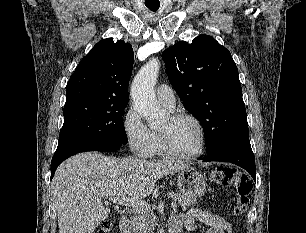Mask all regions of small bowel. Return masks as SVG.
I'll return each instance as SVG.
<instances>
[{"mask_svg": "<svg viewBox=\"0 0 306 233\" xmlns=\"http://www.w3.org/2000/svg\"><path fill=\"white\" fill-rule=\"evenodd\" d=\"M196 222L208 225L207 233H233L231 225L224 218L200 209H191L184 214L173 216L170 226L178 228L179 231L181 228L193 231Z\"/></svg>", "mask_w": 306, "mask_h": 233, "instance_id": "small-bowel-1", "label": "small bowel"}]
</instances>
